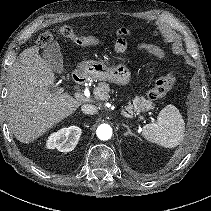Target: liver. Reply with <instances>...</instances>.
<instances>
[{"label":"liver","instance_id":"6515ba94","mask_svg":"<svg viewBox=\"0 0 211 211\" xmlns=\"http://www.w3.org/2000/svg\"><path fill=\"white\" fill-rule=\"evenodd\" d=\"M81 103L56 85L53 70L37 46L20 53L11 70L7 104L9 126L17 140L32 142Z\"/></svg>","mask_w":211,"mask_h":211}]
</instances>
